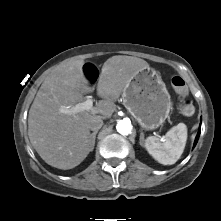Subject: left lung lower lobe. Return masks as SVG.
Wrapping results in <instances>:
<instances>
[{"label": "left lung lower lobe", "instance_id": "left-lung-lower-lobe-1", "mask_svg": "<svg viewBox=\"0 0 221 221\" xmlns=\"http://www.w3.org/2000/svg\"><path fill=\"white\" fill-rule=\"evenodd\" d=\"M200 127H201V124H200ZM200 131H201V128H199V131H198V134H197V136H196V139H195V142H194V146H193V147H195V145H196V143H197V141H198V138H199V135H200Z\"/></svg>", "mask_w": 221, "mask_h": 221}]
</instances>
